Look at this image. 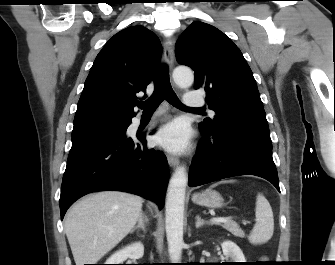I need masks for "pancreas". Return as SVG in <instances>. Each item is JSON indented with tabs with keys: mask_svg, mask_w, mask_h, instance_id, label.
Listing matches in <instances>:
<instances>
[{
	"mask_svg": "<svg viewBox=\"0 0 335 265\" xmlns=\"http://www.w3.org/2000/svg\"><path fill=\"white\" fill-rule=\"evenodd\" d=\"M222 227L229 232H231L236 237L243 238L245 236L243 230L239 227V225L233 220L228 219L227 222L222 224Z\"/></svg>",
	"mask_w": 335,
	"mask_h": 265,
	"instance_id": "cf45deb5",
	"label": "pancreas"
}]
</instances>
